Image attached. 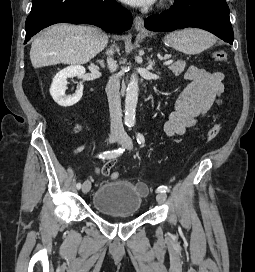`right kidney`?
Masks as SVG:
<instances>
[{"label":"right kidney","instance_id":"right-kidney-1","mask_svg":"<svg viewBox=\"0 0 255 272\" xmlns=\"http://www.w3.org/2000/svg\"><path fill=\"white\" fill-rule=\"evenodd\" d=\"M84 74L85 68L80 65L69 66L59 71L53 78V82L50 87V94L53 100L62 107H70L79 102L83 95V84H80L79 89L73 96H67L65 94L67 89V78H81Z\"/></svg>","mask_w":255,"mask_h":272}]
</instances>
